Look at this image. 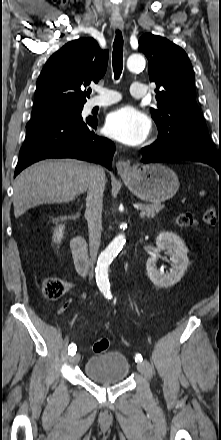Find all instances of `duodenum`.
I'll list each match as a JSON object with an SVG mask.
<instances>
[{
	"label": "duodenum",
	"instance_id": "1",
	"mask_svg": "<svg viewBox=\"0 0 221 440\" xmlns=\"http://www.w3.org/2000/svg\"><path fill=\"white\" fill-rule=\"evenodd\" d=\"M76 270L81 275H86L90 269V259L87 252L86 240L81 235H76L71 242Z\"/></svg>",
	"mask_w": 221,
	"mask_h": 440
}]
</instances>
